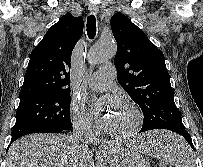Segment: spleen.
<instances>
[{"instance_id": "1", "label": "spleen", "mask_w": 203, "mask_h": 167, "mask_svg": "<svg viewBox=\"0 0 203 167\" xmlns=\"http://www.w3.org/2000/svg\"><path fill=\"white\" fill-rule=\"evenodd\" d=\"M143 152L161 158L175 167H195L191 150L184 140L168 132L148 134Z\"/></svg>"}]
</instances>
